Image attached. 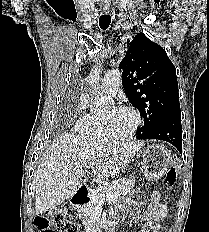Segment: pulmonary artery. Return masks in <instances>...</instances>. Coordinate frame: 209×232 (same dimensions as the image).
<instances>
[{"label": "pulmonary artery", "instance_id": "1", "mask_svg": "<svg viewBox=\"0 0 209 232\" xmlns=\"http://www.w3.org/2000/svg\"><path fill=\"white\" fill-rule=\"evenodd\" d=\"M121 73L117 69L107 71L102 78L101 88L107 94H115L119 88Z\"/></svg>", "mask_w": 209, "mask_h": 232}]
</instances>
